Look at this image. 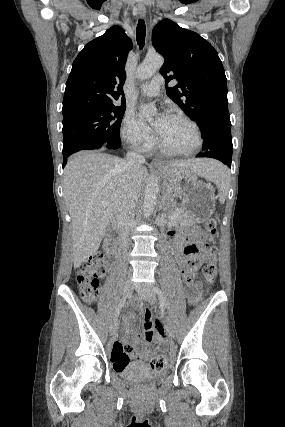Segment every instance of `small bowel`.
I'll return each instance as SVG.
<instances>
[{
  "instance_id": "obj_1",
  "label": "small bowel",
  "mask_w": 285,
  "mask_h": 427,
  "mask_svg": "<svg viewBox=\"0 0 285 427\" xmlns=\"http://www.w3.org/2000/svg\"><path fill=\"white\" fill-rule=\"evenodd\" d=\"M183 234L184 230L181 229L169 232V237L177 253V258L181 261H184L182 256L184 244ZM196 301H198V298L191 301V303H195ZM141 311L145 314L148 313L144 308H142ZM124 322L126 327L130 330L128 337L134 338L136 347L130 353H127L122 347L126 338H121V340H114L112 342L111 361L117 370H121L127 364L129 359L137 360L139 362L149 360L153 354L151 350V342L159 336V333L154 329V323L150 317H146L143 321L145 328V340L143 339L141 332L137 329V320L134 315L131 314L126 316Z\"/></svg>"
}]
</instances>
